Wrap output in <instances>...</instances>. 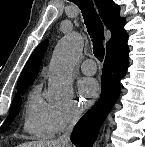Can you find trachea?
Masks as SVG:
<instances>
[{
  "instance_id": "3493384b",
  "label": "trachea",
  "mask_w": 145,
  "mask_h": 147,
  "mask_svg": "<svg viewBox=\"0 0 145 147\" xmlns=\"http://www.w3.org/2000/svg\"><path fill=\"white\" fill-rule=\"evenodd\" d=\"M74 3L81 9L87 31L92 38L93 53L95 57L102 61L105 54L103 46L104 27L96 13L92 0H75Z\"/></svg>"
}]
</instances>
